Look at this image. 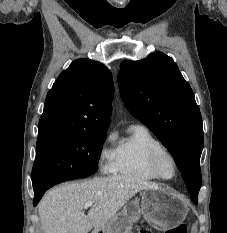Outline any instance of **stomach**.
<instances>
[{
    "mask_svg": "<svg viewBox=\"0 0 227 233\" xmlns=\"http://www.w3.org/2000/svg\"><path fill=\"white\" fill-rule=\"evenodd\" d=\"M187 213V205L180 195L158 186L145 189L141 200L128 202L123 210L114 215L99 231L101 233H130L133 223L137 222L141 216L151 226L169 231L183 222Z\"/></svg>",
    "mask_w": 227,
    "mask_h": 233,
    "instance_id": "1",
    "label": "stomach"
}]
</instances>
